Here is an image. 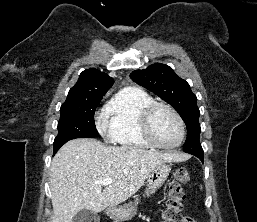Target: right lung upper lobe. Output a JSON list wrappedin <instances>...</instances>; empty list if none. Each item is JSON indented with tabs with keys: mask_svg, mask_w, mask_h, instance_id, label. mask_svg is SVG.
<instances>
[{
	"mask_svg": "<svg viewBox=\"0 0 257 222\" xmlns=\"http://www.w3.org/2000/svg\"><path fill=\"white\" fill-rule=\"evenodd\" d=\"M113 78L95 68L83 71L77 83L70 89L67 101L87 97H103L112 87Z\"/></svg>",
	"mask_w": 257,
	"mask_h": 222,
	"instance_id": "cb5924a9",
	"label": "right lung upper lobe"
}]
</instances>
